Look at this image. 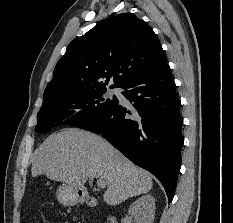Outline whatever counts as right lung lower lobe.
Listing matches in <instances>:
<instances>
[{
	"label": "right lung lower lobe",
	"mask_w": 233,
	"mask_h": 223,
	"mask_svg": "<svg viewBox=\"0 0 233 223\" xmlns=\"http://www.w3.org/2000/svg\"><path fill=\"white\" fill-rule=\"evenodd\" d=\"M123 102L104 111L79 128L101 133L136 165L148 170L163 184L170 202L181 164L183 120L170 67L142 74L122 85Z\"/></svg>",
	"instance_id": "obj_1"
}]
</instances>
